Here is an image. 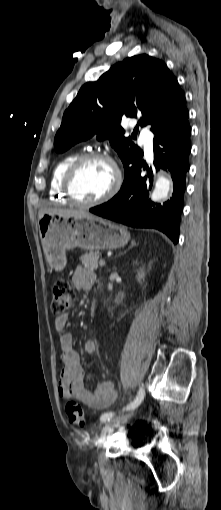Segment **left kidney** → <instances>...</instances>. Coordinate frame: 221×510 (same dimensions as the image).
<instances>
[{"mask_svg": "<svg viewBox=\"0 0 221 510\" xmlns=\"http://www.w3.org/2000/svg\"><path fill=\"white\" fill-rule=\"evenodd\" d=\"M144 277H145L144 271L140 269L137 275L138 281L141 282V280H144Z\"/></svg>", "mask_w": 221, "mask_h": 510, "instance_id": "5707ae66", "label": "left kidney"}]
</instances>
